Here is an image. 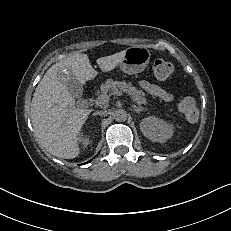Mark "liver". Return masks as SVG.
I'll use <instances>...</instances> for the list:
<instances>
[{
	"mask_svg": "<svg viewBox=\"0 0 231 231\" xmlns=\"http://www.w3.org/2000/svg\"><path fill=\"white\" fill-rule=\"evenodd\" d=\"M126 50L96 60L103 72L116 68ZM69 69L84 84L97 76L87 54L76 53L53 64L37 85L31 102V121L37 138L50 154L64 159L79 155L80 131L91 110L75 106L58 72Z\"/></svg>",
	"mask_w": 231,
	"mask_h": 231,
	"instance_id": "obj_1",
	"label": "liver"
}]
</instances>
